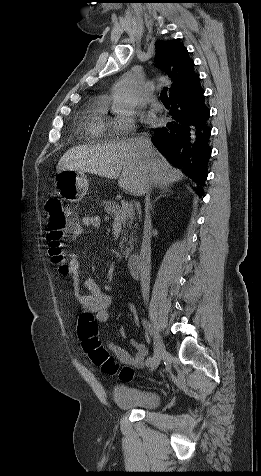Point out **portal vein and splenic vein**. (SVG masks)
<instances>
[{
    "mask_svg": "<svg viewBox=\"0 0 261 476\" xmlns=\"http://www.w3.org/2000/svg\"><path fill=\"white\" fill-rule=\"evenodd\" d=\"M134 213V207L131 203L122 202V207L120 213L116 216L115 220H122L125 217L132 215Z\"/></svg>",
    "mask_w": 261,
    "mask_h": 476,
    "instance_id": "18ae733b",
    "label": "portal vein and splenic vein"
}]
</instances>
